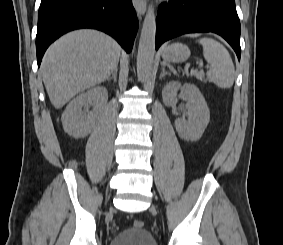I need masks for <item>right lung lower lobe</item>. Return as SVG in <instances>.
<instances>
[{"mask_svg": "<svg viewBox=\"0 0 283 245\" xmlns=\"http://www.w3.org/2000/svg\"><path fill=\"white\" fill-rule=\"evenodd\" d=\"M79 28L101 30L130 52L138 28L132 0H41L36 36L38 66L53 41Z\"/></svg>", "mask_w": 283, "mask_h": 245, "instance_id": "obj_1", "label": "right lung lower lobe"}]
</instances>
